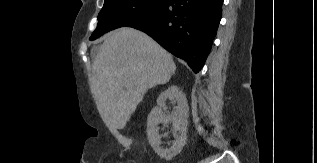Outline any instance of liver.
Listing matches in <instances>:
<instances>
[{
  "mask_svg": "<svg viewBox=\"0 0 317 163\" xmlns=\"http://www.w3.org/2000/svg\"><path fill=\"white\" fill-rule=\"evenodd\" d=\"M172 56L129 27L109 33L92 64L91 93L106 126L123 129L144 95L175 74Z\"/></svg>",
  "mask_w": 317,
  "mask_h": 163,
  "instance_id": "1",
  "label": "liver"
}]
</instances>
